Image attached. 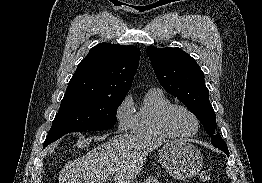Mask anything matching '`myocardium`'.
Segmentation results:
<instances>
[{
	"label": "myocardium",
	"mask_w": 262,
	"mask_h": 183,
	"mask_svg": "<svg viewBox=\"0 0 262 183\" xmlns=\"http://www.w3.org/2000/svg\"><path fill=\"white\" fill-rule=\"evenodd\" d=\"M176 109H183V110L187 111L194 118V120L196 122V128H195V130L192 133H181V132H179L178 130H176L174 128V126L172 125V122H171V116H172V113ZM162 125H163L164 129L168 133L173 135L174 137L191 138V137L195 136L199 132L200 126H201V122H200V119H199L198 115L190 107H188L187 105L180 104V103H174V104L172 103L163 112Z\"/></svg>",
	"instance_id": "myocardium-1"
}]
</instances>
